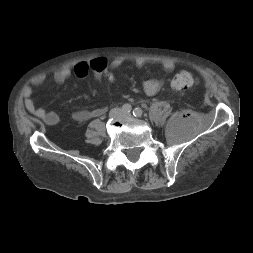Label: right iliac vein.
Instances as JSON below:
<instances>
[{"label":"right iliac vein","mask_w":253,"mask_h":253,"mask_svg":"<svg viewBox=\"0 0 253 253\" xmlns=\"http://www.w3.org/2000/svg\"><path fill=\"white\" fill-rule=\"evenodd\" d=\"M122 115H123V112L120 109L114 111V113H113L114 117H119V116H122Z\"/></svg>","instance_id":"right-iliac-vein-1"}]
</instances>
